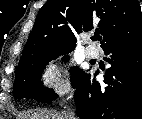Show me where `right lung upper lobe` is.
<instances>
[{"label": "right lung upper lobe", "instance_id": "right-lung-upper-lobe-1", "mask_svg": "<svg viewBox=\"0 0 142 119\" xmlns=\"http://www.w3.org/2000/svg\"><path fill=\"white\" fill-rule=\"evenodd\" d=\"M94 27L103 35V50L140 36L142 12L138 1L48 0L38 12L18 68L47 54L73 50L76 34Z\"/></svg>", "mask_w": 142, "mask_h": 119}]
</instances>
